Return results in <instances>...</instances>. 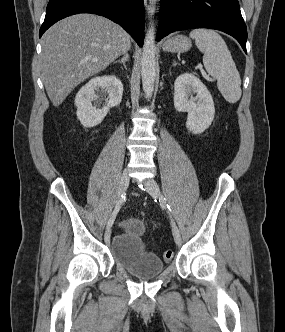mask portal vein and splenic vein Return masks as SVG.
<instances>
[{
    "instance_id": "1",
    "label": "portal vein and splenic vein",
    "mask_w": 285,
    "mask_h": 332,
    "mask_svg": "<svg viewBox=\"0 0 285 332\" xmlns=\"http://www.w3.org/2000/svg\"><path fill=\"white\" fill-rule=\"evenodd\" d=\"M198 68L202 69V65H201V64H199V65H198Z\"/></svg>"
}]
</instances>
